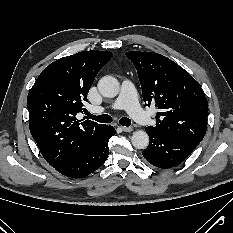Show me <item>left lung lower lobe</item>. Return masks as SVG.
I'll use <instances>...</instances> for the list:
<instances>
[{
	"mask_svg": "<svg viewBox=\"0 0 233 233\" xmlns=\"http://www.w3.org/2000/svg\"><path fill=\"white\" fill-rule=\"evenodd\" d=\"M150 143L142 151L144 158L153 166L165 169L179 165L196 148L198 144L185 138L168 135L147 129Z\"/></svg>",
	"mask_w": 233,
	"mask_h": 233,
	"instance_id": "0a47b994",
	"label": "left lung lower lobe"
}]
</instances>
